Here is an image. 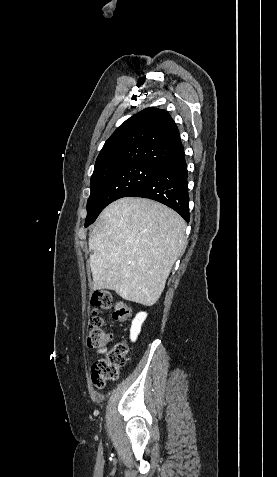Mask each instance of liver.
I'll return each instance as SVG.
<instances>
[{
    "instance_id": "1",
    "label": "liver",
    "mask_w": 277,
    "mask_h": 477,
    "mask_svg": "<svg viewBox=\"0 0 277 477\" xmlns=\"http://www.w3.org/2000/svg\"><path fill=\"white\" fill-rule=\"evenodd\" d=\"M185 229L183 218L159 202L124 197L111 203L89 236L93 289L154 305L185 247Z\"/></svg>"
}]
</instances>
